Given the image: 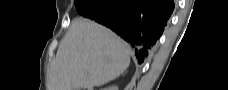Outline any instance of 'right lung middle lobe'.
<instances>
[{
    "label": "right lung middle lobe",
    "instance_id": "dd1d6c3e",
    "mask_svg": "<svg viewBox=\"0 0 228 90\" xmlns=\"http://www.w3.org/2000/svg\"><path fill=\"white\" fill-rule=\"evenodd\" d=\"M104 3L105 0H75L77 12L84 17L96 14Z\"/></svg>",
    "mask_w": 228,
    "mask_h": 90
}]
</instances>
